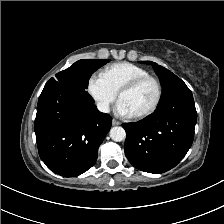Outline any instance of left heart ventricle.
<instances>
[{"instance_id":"b2bd125f","label":"left heart ventricle","mask_w":224,"mask_h":224,"mask_svg":"<svg viewBox=\"0 0 224 224\" xmlns=\"http://www.w3.org/2000/svg\"><path fill=\"white\" fill-rule=\"evenodd\" d=\"M157 95L156 85L147 80L139 84L133 90L124 93L120 101L125 104L132 115L146 111L154 103Z\"/></svg>"}]
</instances>
